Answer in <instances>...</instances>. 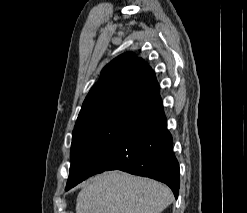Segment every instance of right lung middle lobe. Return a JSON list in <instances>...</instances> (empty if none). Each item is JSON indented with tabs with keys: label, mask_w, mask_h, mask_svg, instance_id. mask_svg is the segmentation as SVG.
<instances>
[{
	"label": "right lung middle lobe",
	"mask_w": 247,
	"mask_h": 213,
	"mask_svg": "<svg viewBox=\"0 0 247 213\" xmlns=\"http://www.w3.org/2000/svg\"><path fill=\"white\" fill-rule=\"evenodd\" d=\"M130 109L131 104L118 105L74 127L70 153L71 166L65 190L96 173L101 154L118 136Z\"/></svg>",
	"instance_id": "1"
}]
</instances>
